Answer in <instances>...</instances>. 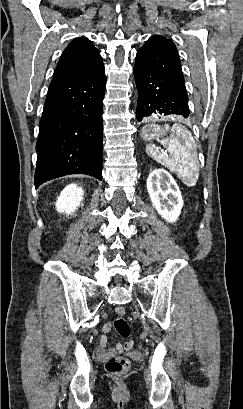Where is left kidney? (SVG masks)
<instances>
[{
	"label": "left kidney",
	"instance_id": "5707ae66",
	"mask_svg": "<svg viewBox=\"0 0 243 409\" xmlns=\"http://www.w3.org/2000/svg\"><path fill=\"white\" fill-rule=\"evenodd\" d=\"M147 191L152 205L166 221L175 222L183 207L179 187L170 173L154 169L147 178Z\"/></svg>",
	"mask_w": 243,
	"mask_h": 409
}]
</instances>
